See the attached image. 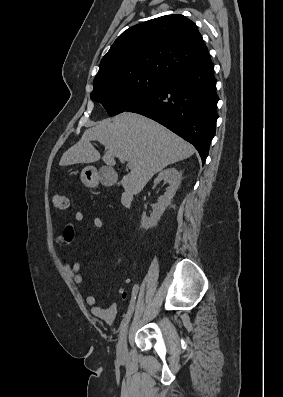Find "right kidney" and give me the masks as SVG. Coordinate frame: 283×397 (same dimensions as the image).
<instances>
[{"mask_svg": "<svg viewBox=\"0 0 283 397\" xmlns=\"http://www.w3.org/2000/svg\"><path fill=\"white\" fill-rule=\"evenodd\" d=\"M162 180H167L169 182V186L166 188L164 195L159 197L156 205L153 207V212L150 217H147L146 215L142 216L141 225L145 230H148L157 224L165 209L171 203V200L180 185L181 173L176 168H167L158 174L154 180V184L156 185Z\"/></svg>", "mask_w": 283, "mask_h": 397, "instance_id": "ca27d5eb", "label": "right kidney"}]
</instances>
